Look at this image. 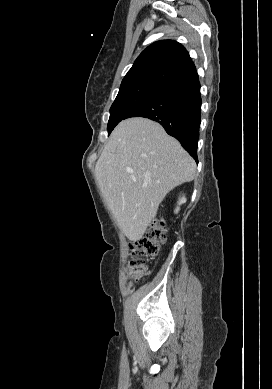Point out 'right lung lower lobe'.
<instances>
[{
  "label": "right lung lower lobe",
  "mask_w": 272,
  "mask_h": 389,
  "mask_svg": "<svg viewBox=\"0 0 272 389\" xmlns=\"http://www.w3.org/2000/svg\"><path fill=\"white\" fill-rule=\"evenodd\" d=\"M200 82L196 71L177 78L132 108L124 117H145L160 123L198 162L201 117Z\"/></svg>",
  "instance_id": "1"
}]
</instances>
